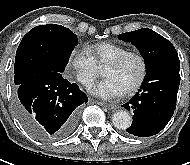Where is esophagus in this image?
<instances>
[{"instance_id":"obj_1","label":"esophagus","mask_w":190,"mask_h":165,"mask_svg":"<svg viewBox=\"0 0 190 165\" xmlns=\"http://www.w3.org/2000/svg\"><path fill=\"white\" fill-rule=\"evenodd\" d=\"M98 104L101 106L107 107L108 109H111V110L117 109V105H114V104H109L105 102H98Z\"/></svg>"}]
</instances>
